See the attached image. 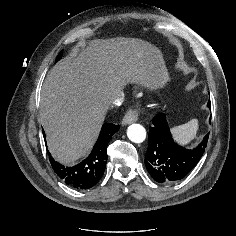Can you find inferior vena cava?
I'll return each instance as SVG.
<instances>
[{"label":"inferior vena cava","mask_w":236,"mask_h":236,"mask_svg":"<svg viewBox=\"0 0 236 236\" xmlns=\"http://www.w3.org/2000/svg\"><path fill=\"white\" fill-rule=\"evenodd\" d=\"M123 101H124V96H123L122 93H119V94L115 97V99L112 101V104H113L114 106H120V105L123 103Z\"/></svg>","instance_id":"inferior-vena-cava-1"}]
</instances>
